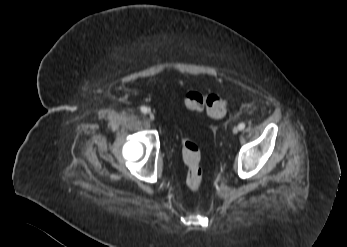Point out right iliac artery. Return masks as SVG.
<instances>
[{
    "label": "right iliac artery",
    "mask_w": 347,
    "mask_h": 247,
    "mask_svg": "<svg viewBox=\"0 0 347 247\" xmlns=\"http://www.w3.org/2000/svg\"><path fill=\"white\" fill-rule=\"evenodd\" d=\"M140 110L142 113H148L149 112V109L145 106H142Z\"/></svg>",
    "instance_id": "obj_1"
}]
</instances>
